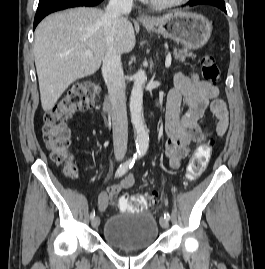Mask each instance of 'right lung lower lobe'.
<instances>
[{"instance_id": "right-lung-lower-lobe-1", "label": "right lung lower lobe", "mask_w": 265, "mask_h": 269, "mask_svg": "<svg viewBox=\"0 0 265 269\" xmlns=\"http://www.w3.org/2000/svg\"><path fill=\"white\" fill-rule=\"evenodd\" d=\"M103 0H39L38 9L34 19V26L48 14L76 6H95L101 3Z\"/></svg>"}]
</instances>
